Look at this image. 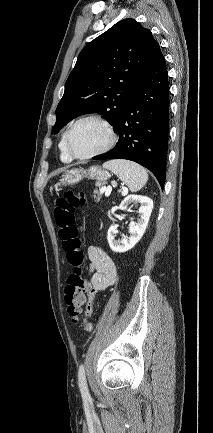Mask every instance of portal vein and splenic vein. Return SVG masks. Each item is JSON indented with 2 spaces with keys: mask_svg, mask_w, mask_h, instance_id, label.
I'll return each mask as SVG.
<instances>
[{
  "mask_svg": "<svg viewBox=\"0 0 213 433\" xmlns=\"http://www.w3.org/2000/svg\"><path fill=\"white\" fill-rule=\"evenodd\" d=\"M103 190L106 191L105 195H106V196H109L110 193H111V191H112V188H111V186H108V187H104Z\"/></svg>",
  "mask_w": 213,
  "mask_h": 433,
  "instance_id": "1",
  "label": "portal vein and splenic vein"
}]
</instances>
